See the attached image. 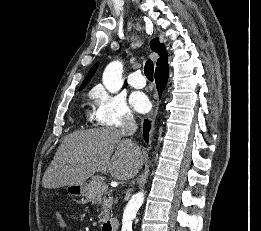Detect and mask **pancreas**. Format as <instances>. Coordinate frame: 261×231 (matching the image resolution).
Instances as JSON below:
<instances>
[{"mask_svg":"<svg viewBox=\"0 0 261 231\" xmlns=\"http://www.w3.org/2000/svg\"><path fill=\"white\" fill-rule=\"evenodd\" d=\"M104 184L103 178L101 176H96L93 181L87 185L85 193V197L92 204H98V198L102 197V211L98 216L100 222L108 220L111 206L113 204V199L111 197L106 198V191H102L101 189Z\"/></svg>","mask_w":261,"mask_h":231,"instance_id":"1","label":"pancreas"}]
</instances>
